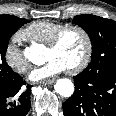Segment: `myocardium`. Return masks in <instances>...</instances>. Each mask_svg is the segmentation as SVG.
<instances>
[{"instance_id":"myocardium-1","label":"myocardium","mask_w":116,"mask_h":116,"mask_svg":"<svg viewBox=\"0 0 116 116\" xmlns=\"http://www.w3.org/2000/svg\"><path fill=\"white\" fill-rule=\"evenodd\" d=\"M69 30H75L79 32L85 42V52L82 57V59L73 67L67 69L70 74H76L82 71L87 67V65L90 63L92 54H93V43L92 38L89 34V32L82 26L76 25V24H68L61 27L52 37V39L49 41V43L46 45L49 49H55L59 46L63 36L66 32Z\"/></svg>"}]
</instances>
